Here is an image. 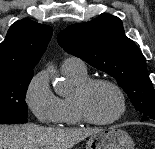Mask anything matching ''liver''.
<instances>
[{
    "mask_svg": "<svg viewBox=\"0 0 155 149\" xmlns=\"http://www.w3.org/2000/svg\"><path fill=\"white\" fill-rule=\"evenodd\" d=\"M101 129H61L35 124L0 125V149H72Z\"/></svg>",
    "mask_w": 155,
    "mask_h": 149,
    "instance_id": "liver-1",
    "label": "liver"
}]
</instances>
